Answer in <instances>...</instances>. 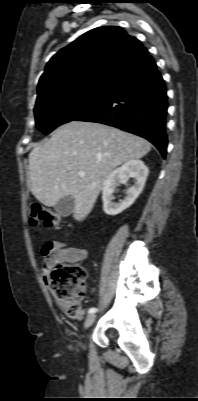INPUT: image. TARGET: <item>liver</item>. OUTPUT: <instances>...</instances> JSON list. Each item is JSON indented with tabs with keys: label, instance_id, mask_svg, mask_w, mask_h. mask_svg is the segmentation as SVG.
Listing matches in <instances>:
<instances>
[{
	"label": "liver",
	"instance_id": "liver-1",
	"mask_svg": "<svg viewBox=\"0 0 198 401\" xmlns=\"http://www.w3.org/2000/svg\"><path fill=\"white\" fill-rule=\"evenodd\" d=\"M151 144L142 137L100 123L71 121L29 154L28 185L45 206L65 197L75 200L73 217L81 221L92 210L116 167L145 156ZM84 171L80 177L78 172Z\"/></svg>",
	"mask_w": 198,
	"mask_h": 401
}]
</instances>
